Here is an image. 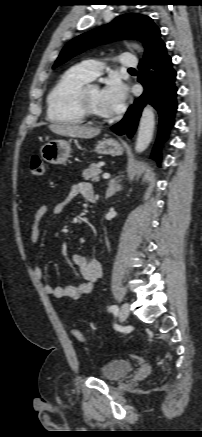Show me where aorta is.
Segmentation results:
<instances>
[{
	"mask_svg": "<svg viewBox=\"0 0 202 437\" xmlns=\"http://www.w3.org/2000/svg\"><path fill=\"white\" fill-rule=\"evenodd\" d=\"M135 48H138L135 46ZM155 116L153 109L150 105H147L142 112L140 119L138 136L135 144V151L141 153L149 146L154 132Z\"/></svg>",
	"mask_w": 202,
	"mask_h": 437,
	"instance_id": "1",
	"label": "aorta"
}]
</instances>
